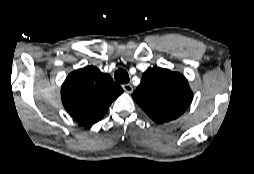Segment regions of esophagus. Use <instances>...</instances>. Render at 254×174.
<instances>
[{
  "label": "esophagus",
  "instance_id": "obj_1",
  "mask_svg": "<svg viewBox=\"0 0 254 174\" xmlns=\"http://www.w3.org/2000/svg\"><path fill=\"white\" fill-rule=\"evenodd\" d=\"M122 88L123 90L126 92V93H132L133 92V87L131 84H123L122 85Z\"/></svg>",
  "mask_w": 254,
  "mask_h": 174
}]
</instances>
